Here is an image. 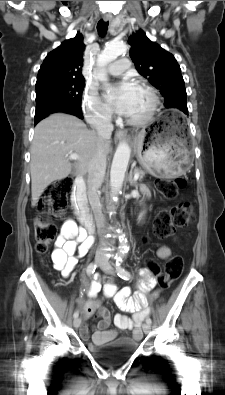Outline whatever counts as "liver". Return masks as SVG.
<instances>
[{
  "label": "liver",
  "mask_w": 225,
  "mask_h": 395,
  "mask_svg": "<svg viewBox=\"0 0 225 395\" xmlns=\"http://www.w3.org/2000/svg\"><path fill=\"white\" fill-rule=\"evenodd\" d=\"M98 145L108 155L110 139L99 141L97 133L75 116L55 113L39 122L31 145L32 206L53 181L66 178L73 169L76 175L86 174ZM71 153L79 156L75 164L69 161Z\"/></svg>",
  "instance_id": "1"
}]
</instances>
